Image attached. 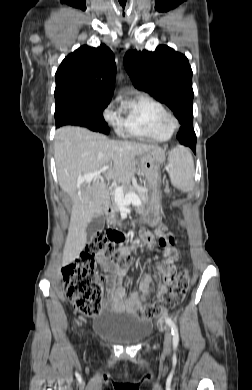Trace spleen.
I'll list each match as a JSON object with an SVG mask.
<instances>
[{"label":"spleen","instance_id":"3e777b00","mask_svg":"<svg viewBox=\"0 0 252 390\" xmlns=\"http://www.w3.org/2000/svg\"><path fill=\"white\" fill-rule=\"evenodd\" d=\"M194 162L190 152L183 147H176L168 156V173L173 186L183 192L194 188Z\"/></svg>","mask_w":252,"mask_h":390}]
</instances>
